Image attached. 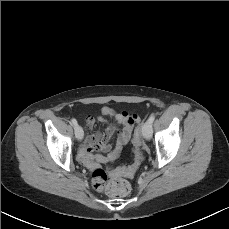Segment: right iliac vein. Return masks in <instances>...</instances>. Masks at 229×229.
<instances>
[{
	"label": "right iliac vein",
	"instance_id": "63e3f726",
	"mask_svg": "<svg viewBox=\"0 0 229 229\" xmlns=\"http://www.w3.org/2000/svg\"><path fill=\"white\" fill-rule=\"evenodd\" d=\"M83 135H84V133H83L82 127L79 126V125L75 126V136H76V138L78 140H82Z\"/></svg>",
	"mask_w": 229,
	"mask_h": 229
}]
</instances>
